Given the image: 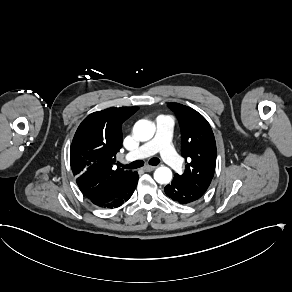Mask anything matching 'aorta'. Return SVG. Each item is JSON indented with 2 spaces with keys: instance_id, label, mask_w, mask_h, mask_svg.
Listing matches in <instances>:
<instances>
[{
  "instance_id": "1",
  "label": "aorta",
  "mask_w": 292,
  "mask_h": 292,
  "mask_svg": "<svg viewBox=\"0 0 292 292\" xmlns=\"http://www.w3.org/2000/svg\"><path fill=\"white\" fill-rule=\"evenodd\" d=\"M134 135L141 141H147L154 135L155 128L150 121L139 120L133 128ZM154 179L160 184H167L172 179V172L168 167H159L154 172Z\"/></svg>"
}]
</instances>
